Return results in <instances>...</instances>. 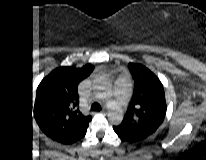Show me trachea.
<instances>
[{"mask_svg":"<svg viewBox=\"0 0 206 160\" xmlns=\"http://www.w3.org/2000/svg\"><path fill=\"white\" fill-rule=\"evenodd\" d=\"M91 110L93 111H100L101 110V106L99 103H93L91 106Z\"/></svg>","mask_w":206,"mask_h":160,"instance_id":"obj_1","label":"trachea"}]
</instances>
